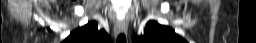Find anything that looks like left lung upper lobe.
Masks as SVG:
<instances>
[{
  "instance_id": "1",
  "label": "left lung upper lobe",
  "mask_w": 256,
  "mask_h": 43,
  "mask_svg": "<svg viewBox=\"0 0 256 43\" xmlns=\"http://www.w3.org/2000/svg\"><path fill=\"white\" fill-rule=\"evenodd\" d=\"M134 43H187L177 35L173 29L160 25L156 21H149L139 37H135Z\"/></svg>"
}]
</instances>
